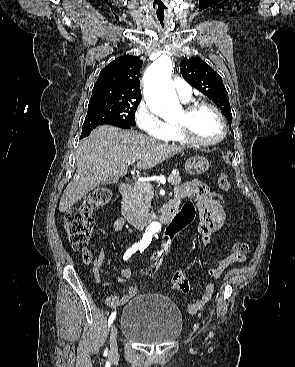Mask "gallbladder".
Wrapping results in <instances>:
<instances>
[{
    "label": "gallbladder",
    "mask_w": 295,
    "mask_h": 367,
    "mask_svg": "<svg viewBox=\"0 0 295 367\" xmlns=\"http://www.w3.org/2000/svg\"><path fill=\"white\" fill-rule=\"evenodd\" d=\"M117 182V180H115V179H107V180H105V181H103V182H101V186H105V185H108V184H114V183H116Z\"/></svg>",
    "instance_id": "bac80fb5"
}]
</instances>
